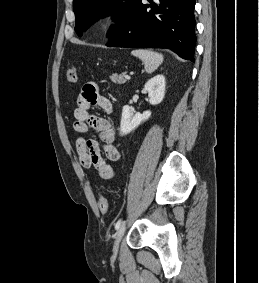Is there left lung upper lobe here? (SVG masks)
Listing matches in <instances>:
<instances>
[{"label":"left lung upper lobe","mask_w":259,"mask_h":283,"mask_svg":"<svg viewBox=\"0 0 259 283\" xmlns=\"http://www.w3.org/2000/svg\"><path fill=\"white\" fill-rule=\"evenodd\" d=\"M136 0H73L75 31L78 36L86 31L91 23L102 17L112 15L118 21L108 36L110 39L124 25Z\"/></svg>","instance_id":"left-lung-upper-lobe-1"}]
</instances>
